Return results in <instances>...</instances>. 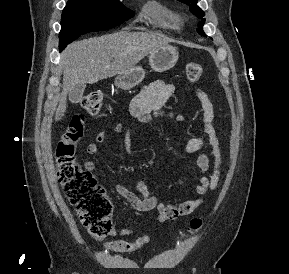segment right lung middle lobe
I'll return each mask as SVG.
<instances>
[{
    "mask_svg": "<svg viewBox=\"0 0 289 274\" xmlns=\"http://www.w3.org/2000/svg\"><path fill=\"white\" fill-rule=\"evenodd\" d=\"M133 16L117 0H68L61 19L60 51L81 34L116 27Z\"/></svg>",
    "mask_w": 289,
    "mask_h": 274,
    "instance_id": "obj_1",
    "label": "right lung middle lobe"
}]
</instances>
